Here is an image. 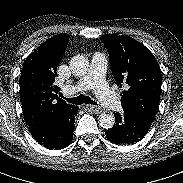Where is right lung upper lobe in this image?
Listing matches in <instances>:
<instances>
[{
  "instance_id": "1",
  "label": "right lung upper lobe",
  "mask_w": 183,
  "mask_h": 183,
  "mask_svg": "<svg viewBox=\"0 0 183 183\" xmlns=\"http://www.w3.org/2000/svg\"><path fill=\"white\" fill-rule=\"evenodd\" d=\"M68 40L69 35L65 33L51 37L23 63L19 85L23 114L28 126L39 116L67 118L78 109L59 98V88L54 85L57 67Z\"/></svg>"
}]
</instances>
